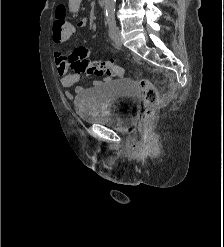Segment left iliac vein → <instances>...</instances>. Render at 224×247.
<instances>
[{
    "label": "left iliac vein",
    "instance_id": "obj_1",
    "mask_svg": "<svg viewBox=\"0 0 224 247\" xmlns=\"http://www.w3.org/2000/svg\"><path fill=\"white\" fill-rule=\"evenodd\" d=\"M114 42L117 46L121 47L122 46V37L121 33L119 30L116 31L115 36H114Z\"/></svg>",
    "mask_w": 224,
    "mask_h": 247
}]
</instances>
